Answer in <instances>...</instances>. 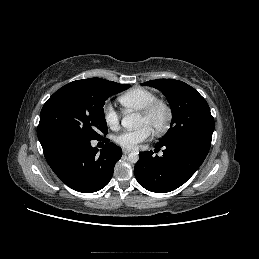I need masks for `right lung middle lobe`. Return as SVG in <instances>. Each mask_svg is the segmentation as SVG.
I'll list each match as a JSON object with an SVG mask.
<instances>
[{
  "label": "right lung middle lobe",
  "instance_id": "obj_1",
  "mask_svg": "<svg viewBox=\"0 0 259 259\" xmlns=\"http://www.w3.org/2000/svg\"><path fill=\"white\" fill-rule=\"evenodd\" d=\"M108 80L73 81L56 91L44 104L37 134L40 142L58 135H73L90 140L107 134L104 103L114 94L129 88Z\"/></svg>",
  "mask_w": 259,
  "mask_h": 259
}]
</instances>
